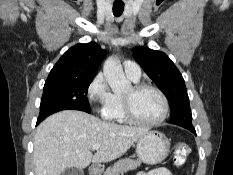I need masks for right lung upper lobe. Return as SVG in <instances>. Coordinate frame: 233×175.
Listing matches in <instances>:
<instances>
[{
    "mask_svg": "<svg viewBox=\"0 0 233 175\" xmlns=\"http://www.w3.org/2000/svg\"><path fill=\"white\" fill-rule=\"evenodd\" d=\"M104 56L95 42L76 44L62 55L47 79L95 77Z\"/></svg>",
    "mask_w": 233,
    "mask_h": 175,
    "instance_id": "cb5924a9",
    "label": "right lung upper lobe"
}]
</instances>
